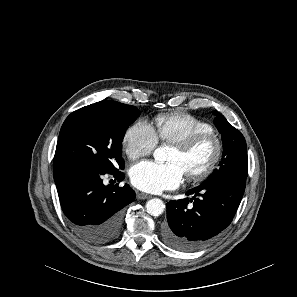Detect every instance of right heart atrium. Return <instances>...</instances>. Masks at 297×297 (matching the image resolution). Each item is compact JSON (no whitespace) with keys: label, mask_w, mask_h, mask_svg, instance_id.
Listing matches in <instances>:
<instances>
[{"label":"right heart atrium","mask_w":297,"mask_h":297,"mask_svg":"<svg viewBox=\"0 0 297 297\" xmlns=\"http://www.w3.org/2000/svg\"><path fill=\"white\" fill-rule=\"evenodd\" d=\"M157 143L154 128L145 120L131 125L123 136V149L131 160L151 155Z\"/></svg>","instance_id":"right-heart-atrium-1"}]
</instances>
